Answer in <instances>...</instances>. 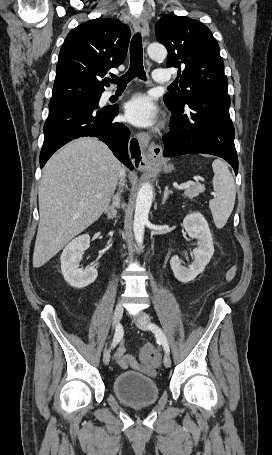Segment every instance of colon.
Instances as JSON below:
<instances>
[{
    "instance_id": "1",
    "label": "colon",
    "mask_w": 272,
    "mask_h": 455,
    "mask_svg": "<svg viewBox=\"0 0 272 455\" xmlns=\"http://www.w3.org/2000/svg\"><path fill=\"white\" fill-rule=\"evenodd\" d=\"M140 358L143 362L157 365L160 362V355L157 350L151 345H145L140 352Z\"/></svg>"
}]
</instances>
